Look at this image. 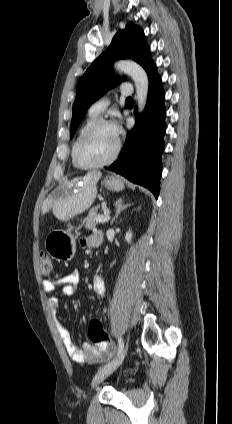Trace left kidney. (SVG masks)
Segmentation results:
<instances>
[{
  "label": "left kidney",
  "instance_id": "5707ae66",
  "mask_svg": "<svg viewBox=\"0 0 232 424\" xmlns=\"http://www.w3.org/2000/svg\"><path fill=\"white\" fill-rule=\"evenodd\" d=\"M131 239H132V233H131V231L129 230V231L126 233L125 240L127 241V243H130V242H131Z\"/></svg>",
  "mask_w": 232,
  "mask_h": 424
}]
</instances>
